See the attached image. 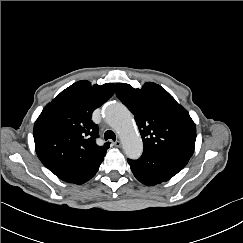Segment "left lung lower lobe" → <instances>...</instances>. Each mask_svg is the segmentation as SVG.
<instances>
[{
  "instance_id": "0a47b994",
  "label": "left lung lower lobe",
  "mask_w": 243,
  "mask_h": 243,
  "mask_svg": "<svg viewBox=\"0 0 243 243\" xmlns=\"http://www.w3.org/2000/svg\"><path fill=\"white\" fill-rule=\"evenodd\" d=\"M188 161L184 158L149 152H143L137 160L128 159L134 176L147 186L169 180L182 170Z\"/></svg>"
}]
</instances>
